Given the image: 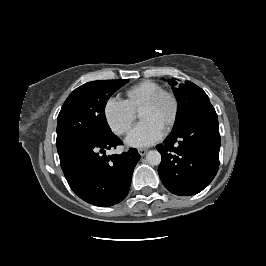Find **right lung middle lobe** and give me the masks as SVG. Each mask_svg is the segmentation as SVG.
Wrapping results in <instances>:
<instances>
[{
    "label": "right lung middle lobe",
    "instance_id": "dd1d6c3e",
    "mask_svg": "<svg viewBox=\"0 0 266 266\" xmlns=\"http://www.w3.org/2000/svg\"><path fill=\"white\" fill-rule=\"evenodd\" d=\"M129 80H100L76 88L64 102L57 120L59 156L76 145L112 134L105 106L110 96Z\"/></svg>",
    "mask_w": 266,
    "mask_h": 266
}]
</instances>
